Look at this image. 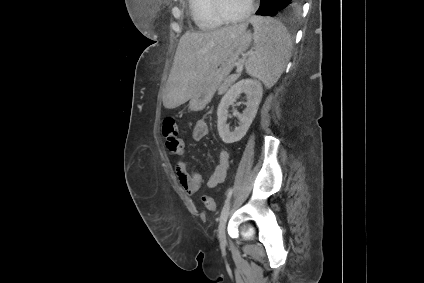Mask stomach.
Listing matches in <instances>:
<instances>
[{"instance_id":"stomach-1","label":"stomach","mask_w":424,"mask_h":283,"mask_svg":"<svg viewBox=\"0 0 424 283\" xmlns=\"http://www.w3.org/2000/svg\"><path fill=\"white\" fill-rule=\"evenodd\" d=\"M252 34L250 31L243 32L238 36L224 55L219 59L212 71L207 75L198 91L189 101V108L193 111L203 110L211 101L220 84L228 77L234 68L239 56L250 46Z\"/></svg>"}]
</instances>
